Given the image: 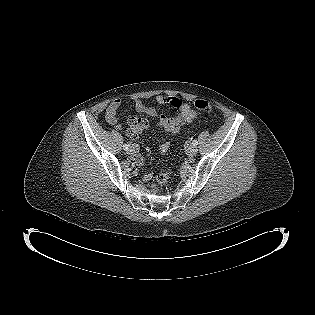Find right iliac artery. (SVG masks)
<instances>
[{"label":"right iliac artery","instance_id":"obj_1","mask_svg":"<svg viewBox=\"0 0 315 315\" xmlns=\"http://www.w3.org/2000/svg\"><path fill=\"white\" fill-rule=\"evenodd\" d=\"M123 149L127 151V150L129 149V145L124 144V145H123Z\"/></svg>","mask_w":315,"mask_h":315}]
</instances>
